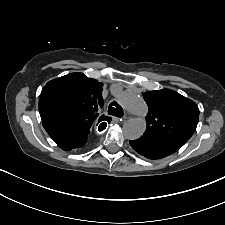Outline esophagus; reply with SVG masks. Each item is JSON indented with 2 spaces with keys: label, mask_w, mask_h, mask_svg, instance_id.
<instances>
[{
  "label": "esophagus",
  "mask_w": 225,
  "mask_h": 225,
  "mask_svg": "<svg viewBox=\"0 0 225 225\" xmlns=\"http://www.w3.org/2000/svg\"><path fill=\"white\" fill-rule=\"evenodd\" d=\"M126 119H128V117H124L123 121H125ZM119 121H122V119L113 118V122H119Z\"/></svg>",
  "instance_id": "34e87169"
}]
</instances>
